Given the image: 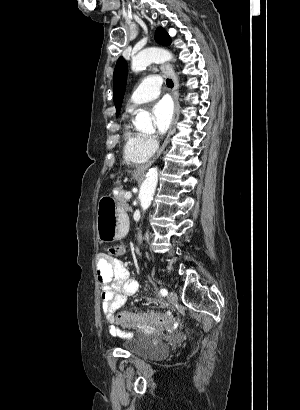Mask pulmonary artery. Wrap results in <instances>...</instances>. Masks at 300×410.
I'll return each mask as SVG.
<instances>
[{
  "instance_id": "e3ab8cb5",
  "label": "pulmonary artery",
  "mask_w": 300,
  "mask_h": 410,
  "mask_svg": "<svg viewBox=\"0 0 300 410\" xmlns=\"http://www.w3.org/2000/svg\"><path fill=\"white\" fill-rule=\"evenodd\" d=\"M161 80L156 75H149L142 80L138 88L132 93L128 110L133 111L139 105L155 99L160 94Z\"/></svg>"
}]
</instances>
